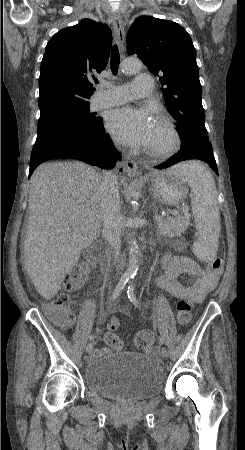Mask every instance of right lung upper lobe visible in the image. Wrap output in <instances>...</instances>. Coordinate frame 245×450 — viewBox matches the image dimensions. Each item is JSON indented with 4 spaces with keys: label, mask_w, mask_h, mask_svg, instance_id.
<instances>
[{
    "label": "right lung upper lobe",
    "mask_w": 245,
    "mask_h": 450,
    "mask_svg": "<svg viewBox=\"0 0 245 450\" xmlns=\"http://www.w3.org/2000/svg\"><path fill=\"white\" fill-rule=\"evenodd\" d=\"M111 43L110 28L90 19L56 33L41 62L40 110L59 104H89L96 76L108 63Z\"/></svg>",
    "instance_id": "right-lung-upper-lobe-1"
}]
</instances>
